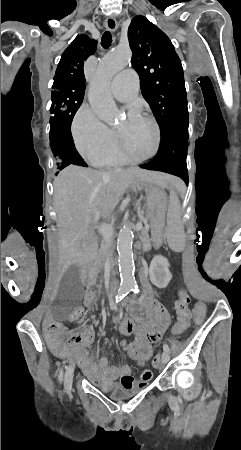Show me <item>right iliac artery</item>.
Instances as JSON below:
<instances>
[{
  "instance_id": "82829eb1",
  "label": "right iliac artery",
  "mask_w": 241,
  "mask_h": 450,
  "mask_svg": "<svg viewBox=\"0 0 241 450\" xmlns=\"http://www.w3.org/2000/svg\"><path fill=\"white\" fill-rule=\"evenodd\" d=\"M131 290L132 289L130 287H125V288H122L121 290H119L118 294L116 295V302L121 301ZM62 375H63V373L61 370L60 375H59V381L62 380Z\"/></svg>"
}]
</instances>
